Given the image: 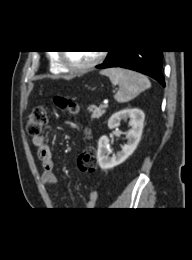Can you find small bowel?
I'll use <instances>...</instances> for the list:
<instances>
[{
    "label": "small bowel",
    "mask_w": 192,
    "mask_h": 260,
    "mask_svg": "<svg viewBox=\"0 0 192 260\" xmlns=\"http://www.w3.org/2000/svg\"><path fill=\"white\" fill-rule=\"evenodd\" d=\"M33 144L37 148V155L41 162L42 182L50 186L57 185L59 180L54 172L55 163H54L52 148L49 142L43 136H38L33 138ZM97 200H98V192L96 190H92L89 193L88 200L84 205V210L93 209L97 203Z\"/></svg>",
    "instance_id": "c3829d8e"
}]
</instances>
